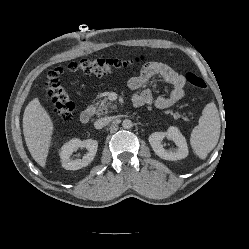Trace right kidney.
Returning a JSON list of instances; mask_svg holds the SVG:
<instances>
[{
    "instance_id": "obj_1",
    "label": "right kidney",
    "mask_w": 249,
    "mask_h": 249,
    "mask_svg": "<svg viewBox=\"0 0 249 249\" xmlns=\"http://www.w3.org/2000/svg\"><path fill=\"white\" fill-rule=\"evenodd\" d=\"M79 147L86 148L88 153L83 156L82 159L72 160L70 157L72 153L77 150ZM98 142L96 140L87 139L79 140L77 138L72 139L65 143L60 152V158L62 162V167L66 170H78L82 167H86L90 164L97 152Z\"/></svg>"
}]
</instances>
